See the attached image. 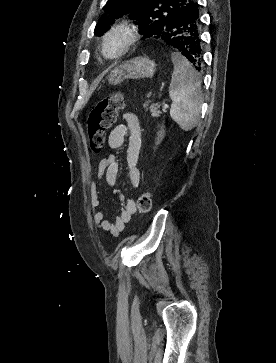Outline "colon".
Masks as SVG:
<instances>
[{"instance_id": "5ec220e1", "label": "colon", "mask_w": 276, "mask_h": 363, "mask_svg": "<svg viewBox=\"0 0 276 363\" xmlns=\"http://www.w3.org/2000/svg\"><path fill=\"white\" fill-rule=\"evenodd\" d=\"M123 106V95L115 93L100 100L89 112L87 119L89 143L95 153H99L103 149L106 133L115 122L116 116ZM137 208L142 214L151 211L152 195L148 190L143 191L138 197Z\"/></svg>"}]
</instances>
